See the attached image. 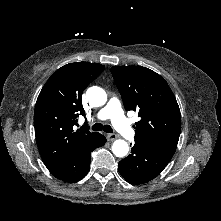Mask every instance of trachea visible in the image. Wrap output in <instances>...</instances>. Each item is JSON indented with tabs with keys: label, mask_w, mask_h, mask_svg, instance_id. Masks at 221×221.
Wrapping results in <instances>:
<instances>
[{
	"label": "trachea",
	"mask_w": 221,
	"mask_h": 221,
	"mask_svg": "<svg viewBox=\"0 0 221 221\" xmlns=\"http://www.w3.org/2000/svg\"><path fill=\"white\" fill-rule=\"evenodd\" d=\"M92 130L95 131H105L107 133H112L113 130L110 125H102L101 123H96L92 126Z\"/></svg>",
	"instance_id": "1"
}]
</instances>
